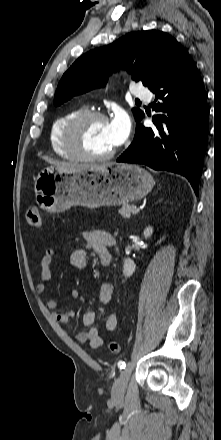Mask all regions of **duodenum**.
I'll return each instance as SVG.
<instances>
[{
    "label": "duodenum",
    "instance_id": "duodenum-1",
    "mask_svg": "<svg viewBox=\"0 0 221 440\" xmlns=\"http://www.w3.org/2000/svg\"><path fill=\"white\" fill-rule=\"evenodd\" d=\"M110 262H111V259L108 258V259L105 260L104 264H105L106 266H109V265H110Z\"/></svg>",
    "mask_w": 221,
    "mask_h": 440
}]
</instances>
